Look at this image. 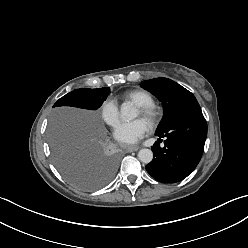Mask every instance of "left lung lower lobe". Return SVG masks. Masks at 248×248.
Wrapping results in <instances>:
<instances>
[{"instance_id":"obj_1","label":"left lung lower lobe","mask_w":248,"mask_h":248,"mask_svg":"<svg viewBox=\"0 0 248 248\" xmlns=\"http://www.w3.org/2000/svg\"><path fill=\"white\" fill-rule=\"evenodd\" d=\"M156 136L160 139L151 147L154 158L146 165L147 172L164 183L183 180L198 165L207 137V122L200 106L185 110ZM163 137L165 146L161 147Z\"/></svg>"}]
</instances>
